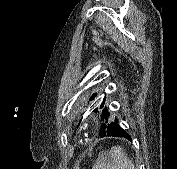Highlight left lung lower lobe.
Segmentation results:
<instances>
[{
  "label": "left lung lower lobe",
  "instance_id": "1",
  "mask_svg": "<svg viewBox=\"0 0 177 169\" xmlns=\"http://www.w3.org/2000/svg\"><path fill=\"white\" fill-rule=\"evenodd\" d=\"M106 136L125 137L126 139L130 141L132 140L131 136L119 126L117 119H115V122H112V124L107 126L105 132L102 135H100V138L106 137Z\"/></svg>",
  "mask_w": 177,
  "mask_h": 169
}]
</instances>
